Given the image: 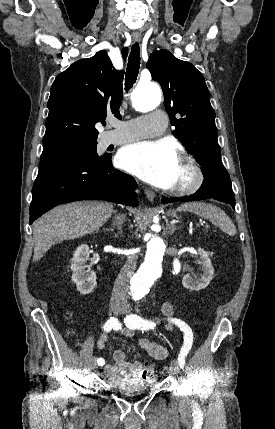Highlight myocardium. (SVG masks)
I'll use <instances>...</instances> for the list:
<instances>
[{
	"label": "myocardium",
	"mask_w": 275,
	"mask_h": 429,
	"mask_svg": "<svg viewBox=\"0 0 275 429\" xmlns=\"http://www.w3.org/2000/svg\"><path fill=\"white\" fill-rule=\"evenodd\" d=\"M180 163L188 172V178L180 185L173 186L170 192L175 196H185L195 193L204 182V173L195 159L188 155L180 156Z\"/></svg>",
	"instance_id": "1"
}]
</instances>
